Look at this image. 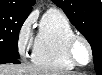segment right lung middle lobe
Segmentation results:
<instances>
[{
	"label": "right lung middle lobe",
	"instance_id": "right-lung-middle-lobe-1",
	"mask_svg": "<svg viewBox=\"0 0 102 75\" xmlns=\"http://www.w3.org/2000/svg\"><path fill=\"white\" fill-rule=\"evenodd\" d=\"M29 13L12 10H0V58L19 59L18 35Z\"/></svg>",
	"mask_w": 102,
	"mask_h": 75
}]
</instances>
